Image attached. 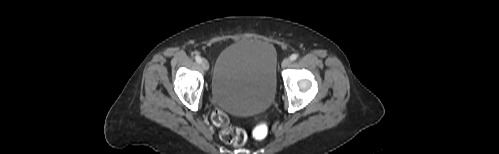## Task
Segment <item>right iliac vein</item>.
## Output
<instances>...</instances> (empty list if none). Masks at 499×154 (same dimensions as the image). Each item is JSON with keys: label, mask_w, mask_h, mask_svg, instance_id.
Listing matches in <instances>:
<instances>
[{"label": "right iliac vein", "mask_w": 499, "mask_h": 154, "mask_svg": "<svg viewBox=\"0 0 499 154\" xmlns=\"http://www.w3.org/2000/svg\"><path fill=\"white\" fill-rule=\"evenodd\" d=\"M201 66L202 68L205 70V71H208L209 70V63L206 59H202L201 61Z\"/></svg>", "instance_id": "obj_1"}]
</instances>
